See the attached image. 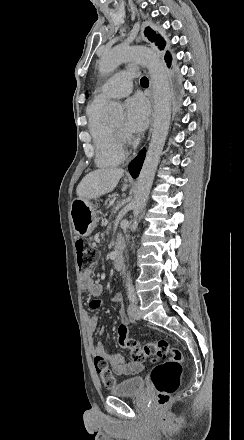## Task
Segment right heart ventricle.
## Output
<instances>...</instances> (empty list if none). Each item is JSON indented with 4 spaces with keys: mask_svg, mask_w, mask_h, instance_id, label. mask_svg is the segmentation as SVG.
<instances>
[{
    "mask_svg": "<svg viewBox=\"0 0 244 440\" xmlns=\"http://www.w3.org/2000/svg\"><path fill=\"white\" fill-rule=\"evenodd\" d=\"M106 101H91L86 109L88 128L95 141V162L100 168H111L119 165L125 158L122 143L115 141L116 132L108 128L107 122L102 118Z\"/></svg>",
    "mask_w": 244,
    "mask_h": 440,
    "instance_id": "e07e8e85",
    "label": "right heart ventricle"
}]
</instances>
